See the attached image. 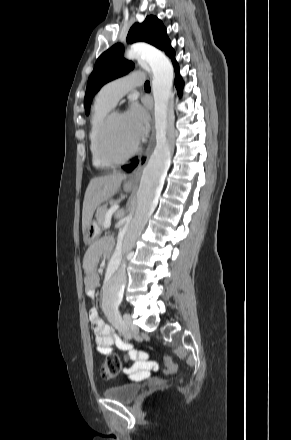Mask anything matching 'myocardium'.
Instances as JSON below:
<instances>
[{"label":"myocardium","mask_w":291,"mask_h":440,"mask_svg":"<svg viewBox=\"0 0 291 440\" xmlns=\"http://www.w3.org/2000/svg\"><path fill=\"white\" fill-rule=\"evenodd\" d=\"M118 115H122L119 110L114 109L110 111L101 122L97 134L98 150L100 155L103 159L113 164H121L128 161L137 153L140 148V142L137 141L136 144L123 155H118L110 150L107 142L108 130L113 119Z\"/></svg>","instance_id":"f54148a6"}]
</instances>
